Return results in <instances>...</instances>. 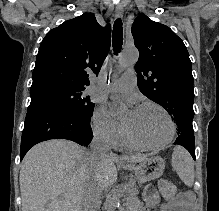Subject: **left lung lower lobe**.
<instances>
[{"label":"left lung lower lobe","instance_id":"left-lung-lower-lobe-1","mask_svg":"<svg viewBox=\"0 0 219 211\" xmlns=\"http://www.w3.org/2000/svg\"><path fill=\"white\" fill-rule=\"evenodd\" d=\"M174 144L181 145L185 147L190 154L192 155L193 159L195 160V140L193 134H181L176 139Z\"/></svg>","mask_w":219,"mask_h":211}]
</instances>
